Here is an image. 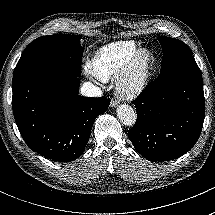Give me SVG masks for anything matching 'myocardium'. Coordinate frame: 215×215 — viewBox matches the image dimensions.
I'll list each match as a JSON object with an SVG mask.
<instances>
[{
  "instance_id": "f54148a6",
  "label": "myocardium",
  "mask_w": 215,
  "mask_h": 215,
  "mask_svg": "<svg viewBox=\"0 0 215 215\" xmlns=\"http://www.w3.org/2000/svg\"><path fill=\"white\" fill-rule=\"evenodd\" d=\"M155 63L156 55L151 48L140 47L135 50L116 78L117 95L124 99L138 96L146 87Z\"/></svg>"
}]
</instances>
